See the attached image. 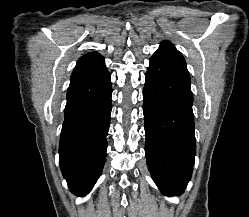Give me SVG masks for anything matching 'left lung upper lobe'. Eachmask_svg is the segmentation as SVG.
Returning a JSON list of instances; mask_svg holds the SVG:
<instances>
[{"instance_id":"5c2ea615","label":"left lung upper lobe","mask_w":249,"mask_h":217,"mask_svg":"<svg viewBox=\"0 0 249 217\" xmlns=\"http://www.w3.org/2000/svg\"><path fill=\"white\" fill-rule=\"evenodd\" d=\"M151 58L168 60L186 67V62L182 54L169 41L162 42L159 49Z\"/></svg>"}]
</instances>
